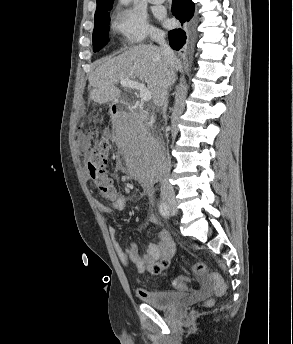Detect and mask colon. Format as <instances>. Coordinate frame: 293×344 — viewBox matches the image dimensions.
<instances>
[{"label": "colon", "instance_id": "obj_1", "mask_svg": "<svg viewBox=\"0 0 293 344\" xmlns=\"http://www.w3.org/2000/svg\"><path fill=\"white\" fill-rule=\"evenodd\" d=\"M110 142L108 139H101L90 152L87 159V169L92 182L99 189L100 193L107 199H116L118 191L114 183V179L108 174L107 167L109 162ZM192 272L201 279H207L214 284V292L216 296H221L226 292V284L223 279L216 273H208L204 263H196ZM185 277L174 280V285L178 287L184 286ZM213 300L210 299L207 305H212Z\"/></svg>", "mask_w": 293, "mask_h": 344}]
</instances>
